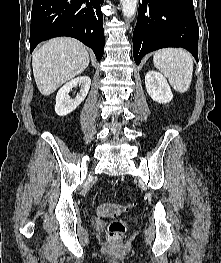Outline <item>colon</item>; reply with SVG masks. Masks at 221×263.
Here are the masks:
<instances>
[{
	"mask_svg": "<svg viewBox=\"0 0 221 263\" xmlns=\"http://www.w3.org/2000/svg\"><path fill=\"white\" fill-rule=\"evenodd\" d=\"M129 206L118 203H101L97 207V213L101 217H116L122 212L129 210ZM126 231V223L122 220H115L108 226V237L113 242H119Z\"/></svg>",
	"mask_w": 221,
	"mask_h": 263,
	"instance_id": "colon-1",
	"label": "colon"
}]
</instances>
